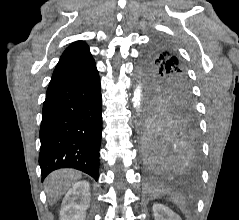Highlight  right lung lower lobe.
Segmentation results:
<instances>
[{
  "label": "right lung lower lobe",
  "mask_w": 239,
  "mask_h": 220,
  "mask_svg": "<svg viewBox=\"0 0 239 220\" xmlns=\"http://www.w3.org/2000/svg\"><path fill=\"white\" fill-rule=\"evenodd\" d=\"M101 134V85L94 60L52 76L40 127L42 180L59 168H75L97 180Z\"/></svg>",
  "instance_id": "right-lung-lower-lobe-1"
}]
</instances>
